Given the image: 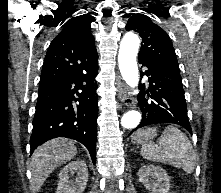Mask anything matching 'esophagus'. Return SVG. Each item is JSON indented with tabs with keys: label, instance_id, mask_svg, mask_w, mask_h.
<instances>
[{
	"label": "esophagus",
	"instance_id": "34e87169",
	"mask_svg": "<svg viewBox=\"0 0 221 193\" xmlns=\"http://www.w3.org/2000/svg\"><path fill=\"white\" fill-rule=\"evenodd\" d=\"M118 88H119L118 97L121 100V102L127 107L135 108L136 107V99L127 95V87L125 86V84L120 83L118 85Z\"/></svg>",
	"mask_w": 221,
	"mask_h": 193
}]
</instances>
